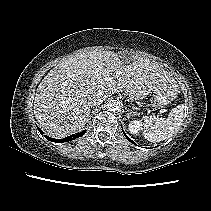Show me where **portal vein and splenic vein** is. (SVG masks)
<instances>
[{
	"mask_svg": "<svg viewBox=\"0 0 211 211\" xmlns=\"http://www.w3.org/2000/svg\"><path fill=\"white\" fill-rule=\"evenodd\" d=\"M119 76H120V73H117L115 77H119ZM111 79H112V77H106V80H108V81Z\"/></svg>",
	"mask_w": 211,
	"mask_h": 211,
	"instance_id": "portal-vein-and-splenic-vein-1",
	"label": "portal vein and splenic vein"
}]
</instances>
